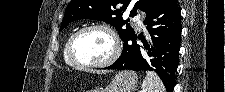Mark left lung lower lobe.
<instances>
[{
  "label": "left lung lower lobe",
  "instance_id": "1",
  "mask_svg": "<svg viewBox=\"0 0 225 92\" xmlns=\"http://www.w3.org/2000/svg\"><path fill=\"white\" fill-rule=\"evenodd\" d=\"M144 24L148 35L139 36L143 45L135 43L136 36L124 41L121 56L104 69L155 71L167 91L173 92L182 32L177 0H164L146 14Z\"/></svg>",
  "mask_w": 225,
  "mask_h": 92
}]
</instances>
